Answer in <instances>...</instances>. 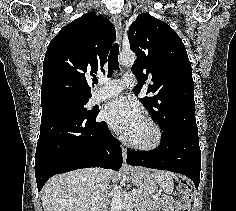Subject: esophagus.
<instances>
[{
  "instance_id": "esophagus-1",
  "label": "esophagus",
  "mask_w": 236,
  "mask_h": 211,
  "mask_svg": "<svg viewBox=\"0 0 236 211\" xmlns=\"http://www.w3.org/2000/svg\"><path fill=\"white\" fill-rule=\"evenodd\" d=\"M113 24L115 26L116 29V34H117V41L119 43V45H121V41H122V24H121V20L118 18V16H113ZM121 150H122V156H123V166L127 167V163H126V159H127V149L121 145Z\"/></svg>"
}]
</instances>
